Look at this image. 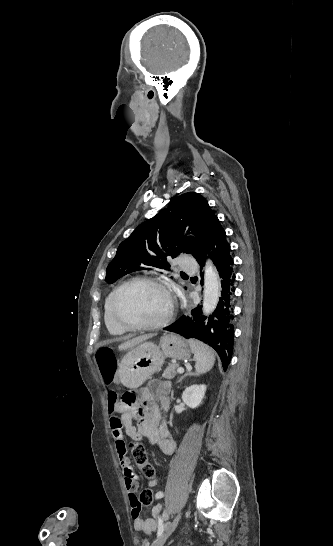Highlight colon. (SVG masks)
<instances>
[{
    "label": "colon",
    "instance_id": "obj_1",
    "mask_svg": "<svg viewBox=\"0 0 333 546\" xmlns=\"http://www.w3.org/2000/svg\"><path fill=\"white\" fill-rule=\"evenodd\" d=\"M96 362L105 381L110 382L113 379L111 373L116 369L112 351L108 348L98 350L96 353ZM109 400L114 403L116 401V395L111 393ZM122 403L126 406H134L137 403L136 394L134 392L126 393L122 397ZM131 451L133 458L143 475L148 478L155 476V468L149 462L148 454L143 444L134 442L131 446ZM154 500L155 495L152 489H144L138 497L140 506H151L154 503Z\"/></svg>",
    "mask_w": 333,
    "mask_h": 546
}]
</instances>
